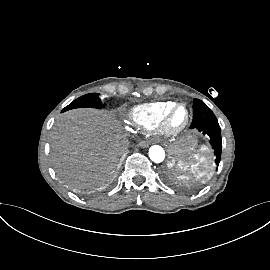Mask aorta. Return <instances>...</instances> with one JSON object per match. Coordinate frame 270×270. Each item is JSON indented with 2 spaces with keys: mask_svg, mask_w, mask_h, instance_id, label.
Listing matches in <instances>:
<instances>
[{
  "mask_svg": "<svg viewBox=\"0 0 270 270\" xmlns=\"http://www.w3.org/2000/svg\"><path fill=\"white\" fill-rule=\"evenodd\" d=\"M149 157L155 163H161L165 159V151L159 145H153L149 148Z\"/></svg>",
  "mask_w": 270,
  "mask_h": 270,
  "instance_id": "aorta-1",
  "label": "aorta"
}]
</instances>
